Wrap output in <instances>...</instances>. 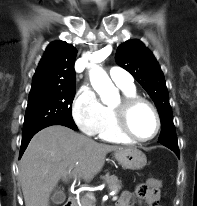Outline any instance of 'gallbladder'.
<instances>
[{
    "label": "gallbladder",
    "instance_id": "gallbladder-1",
    "mask_svg": "<svg viewBox=\"0 0 197 206\" xmlns=\"http://www.w3.org/2000/svg\"><path fill=\"white\" fill-rule=\"evenodd\" d=\"M50 199L52 204L59 205L65 201L66 195L60 188H55Z\"/></svg>",
    "mask_w": 197,
    "mask_h": 206
}]
</instances>
